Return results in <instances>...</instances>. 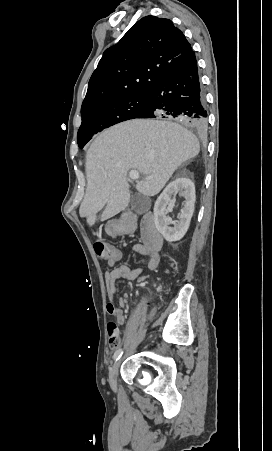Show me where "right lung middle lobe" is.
Instances as JSON below:
<instances>
[{"instance_id": "1", "label": "right lung middle lobe", "mask_w": 272, "mask_h": 451, "mask_svg": "<svg viewBox=\"0 0 272 451\" xmlns=\"http://www.w3.org/2000/svg\"><path fill=\"white\" fill-rule=\"evenodd\" d=\"M149 94L130 95L107 100L81 112L82 124L77 142L82 149L98 132L114 124L137 118L148 105Z\"/></svg>"}]
</instances>
